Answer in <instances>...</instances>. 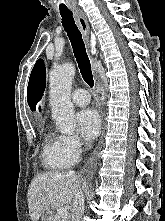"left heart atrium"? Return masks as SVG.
<instances>
[{
    "mask_svg": "<svg viewBox=\"0 0 165 221\" xmlns=\"http://www.w3.org/2000/svg\"><path fill=\"white\" fill-rule=\"evenodd\" d=\"M77 123L80 134L87 140L91 141L97 137L101 127V120L98 113L87 108L77 114Z\"/></svg>",
    "mask_w": 165,
    "mask_h": 221,
    "instance_id": "obj_1",
    "label": "left heart atrium"
}]
</instances>
